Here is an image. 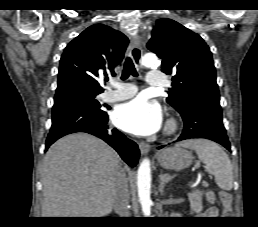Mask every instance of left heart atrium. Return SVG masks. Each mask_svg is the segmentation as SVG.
I'll list each match as a JSON object with an SVG mask.
<instances>
[{"label": "left heart atrium", "instance_id": "obj_1", "mask_svg": "<svg viewBox=\"0 0 258 227\" xmlns=\"http://www.w3.org/2000/svg\"><path fill=\"white\" fill-rule=\"evenodd\" d=\"M115 124L132 134L150 135L162 122L160 106L145 97H137L118 106L114 113Z\"/></svg>", "mask_w": 258, "mask_h": 227}]
</instances>
